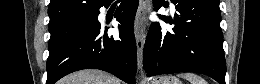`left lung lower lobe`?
I'll return each instance as SVG.
<instances>
[{
    "label": "left lung lower lobe",
    "mask_w": 260,
    "mask_h": 84,
    "mask_svg": "<svg viewBox=\"0 0 260 84\" xmlns=\"http://www.w3.org/2000/svg\"><path fill=\"white\" fill-rule=\"evenodd\" d=\"M176 5L173 32L152 23L144 46L147 76L197 72L225 84L226 62L219 0H171ZM158 10L163 0L154 1ZM167 22L166 16H160ZM172 24V20H168Z\"/></svg>",
    "instance_id": "0a47b994"
}]
</instances>
